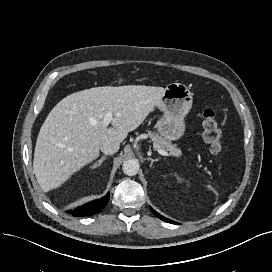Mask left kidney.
<instances>
[{
	"instance_id": "obj_1",
	"label": "left kidney",
	"mask_w": 272,
	"mask_h": 272,
	"mask_svg": "<svg viewBox=\"0 0 272 272\" xmlns=\"http://www.w3.org/2000/svg\"><path fill=\"white\" fill-rule=\"evenodd\" d=\"M178 179V181H180L181 179L180 178H177Z\"/></svg>"
}]
</instances>
